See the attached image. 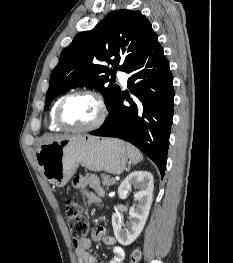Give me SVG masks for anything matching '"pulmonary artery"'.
Instances as JSON below:
<instances>
[{"instance_id": "1", "label": "pulmonary artery", "mask_w": 233, "mask_h": 263, "mask_svg": "<svg viewBox=\"0 0 233 263\" xmlns=\"http://www.w3.org/2000/svg\"><path fill=\"white\" fill-rule=\"evenodd\" d=\"M117 77L120 80L121 84L126 87L128 75L124 71H118Z\"/></svg>"}]
</instances>
